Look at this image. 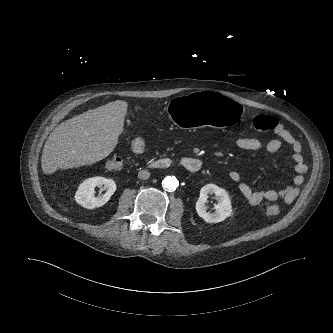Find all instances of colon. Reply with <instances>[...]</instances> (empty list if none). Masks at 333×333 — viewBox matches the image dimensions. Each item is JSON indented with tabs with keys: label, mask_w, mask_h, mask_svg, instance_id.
Returning <instances> with one entry per match:
<instances>
[{
	"label": "colon",
	"mask_w": 333,
	"mask_h": 333,
	"mask_svg": "<svg viewBox=\"0 0 333 333\" xmlns=\"http://www.w3.org/2000/svg\"><path fill=\"white\" fill-rule=\"evenodd\" d=\"M277 123V120L270 115H257L252 121L254 129L259 133L273 130ZM123 165L124 160L119 156H113L105 162V168L109 171L120 170ZM278 213L279 206L275 203L268 204L264 208V214L266 216H276Z\"/></svg>",
	"instance_id": "obj_1"
}]
</instances>
